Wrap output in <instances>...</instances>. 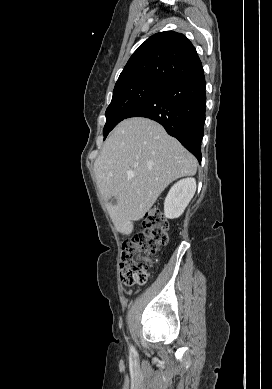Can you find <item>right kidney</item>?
I'll use <instances>...</instances> for the list:
<instances>
[{
	"instance_id": "obj_1",
	"label": "right kidney",
	"mask_w": 272,
	"mask_h": 389,
	"mask_svg": "<svg viewBox=\"0 0 272 389\" xmlns=\"http://www.w3.org/2000/svg\"><path fill=\"white\" fill-rule=\"evenodd\" d=\"M196 191V180L186 178L175 183L164 202V215L168 219L179 218Z\"/></svg>"
}]
</instances>
